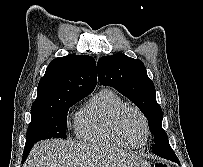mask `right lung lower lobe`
<instances>
[{"label": "right lung lower lobe", "mask_w": 203, "mask_h": 167, "mask_svg": "<svg viewBox=\"0 0 203 167\" xmlns=\"http://www.w3.org/2000/svg\"><path fill=\"white\" fill-rule=\"evenodd\" d=\"M36 141H32V142H27L25 144V148H24V153H23V157H22V163L24 162V160L27 158L31 148L34 146V143Z\"/></svg>", "instance_id": "right-lung-lower-lobe-1"}]
</instances>
